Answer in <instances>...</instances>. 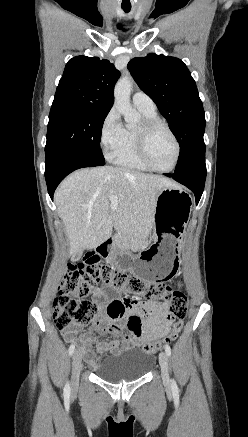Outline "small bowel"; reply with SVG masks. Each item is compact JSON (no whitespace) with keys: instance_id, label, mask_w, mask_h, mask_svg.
<instances>
[{"instance_id":"1","label":"small bowel","mask_w":248,"mask_h":437,"mask_svg":"<svg viewBox=\"0 0 248 437\" xmlns=\"http://www.w3.org/2000/svg\"><path fill=\"white\" fill-rule=\"evenodd\" d=\"M95 299L108 307L106 314L99 315L93 328L107 338L102 341L84 333L77 338L78 326H71L61 331L67 342L77 340L87 363L93 368L99 365V358L92 350L96 345L99 354H116L123 349L137 347L166 336L171 328L166 302L139 303L134 297H127L120 291H113L112 285H99L93 291ZM125 328V337L119 340L120 332Z\"/></svg>"}]
</instances>
